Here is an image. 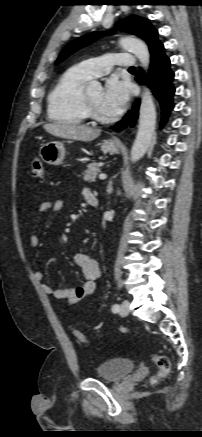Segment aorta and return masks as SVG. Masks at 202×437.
Here are the masks:
<instances>
[{"label": "aorta", "instance_id": "obj_1", "mask_svg": "<svg viewBox=\"0 0 202 437\" xmlns=\"http://www.w3.org/2000/svg\"><path fill=\"white\" fill-rule=\"evenodd\" d=\"M122 48L132 52L140 61L142 67L147 70L150 63V53L147 45L136 37H123L119 40ZM88 91H101L102 86L97 81H91ZM156 125V110L153 96L149 88L145 87L140 105L139 126L136 139L133 143L130 160L132 163L140 160L148 150Z\"/></svg>", "mask_w": 202, "mask_h": 437}]
</instances>
